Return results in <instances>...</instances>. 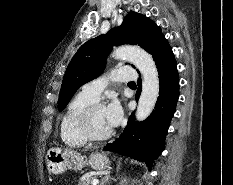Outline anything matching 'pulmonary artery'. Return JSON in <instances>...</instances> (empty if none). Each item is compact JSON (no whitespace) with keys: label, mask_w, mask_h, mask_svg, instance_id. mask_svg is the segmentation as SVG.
Returning a JSON list of instances; mask_svg holds the SVG:
<instances>
[{"label":"pulmonary artery","mask_w":233,"mask_h":185,"mask_svg":"<svg viewBox=\"0 0 233 185\" xmlns=\"http://www.w3.org/2000/svg\"><path fill=\"white\" fill-rule=\"evenodd\" d=\"M136 79V74L132 68L121 67L114 69L107 76L98 77L86 83L82 89L81 94L87 98L96 101L99 99L102 91L110 82H130Z\"/></svg>","instance_id":"pulmonary-artery-1"}]
</instances>
